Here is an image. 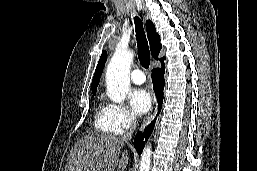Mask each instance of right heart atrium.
<instances>
[{
  "instance_id": "d8ad5b80",
  "label": "right heart atrium",
  "mask_w": 257,
  "mask_h": 171,
  "mask_svg": "<svg viewBox=\"0 0 257 171\" xmlns=\"http://www.w3.org/2000/svg\"><path fill=\"white\" fill-rule=\"evenodd\" d=\"M107 108L114 127L120 133L129 130L136 123L134 114L125 106L110 103Z\"/></svg>"
}]
</instances>
